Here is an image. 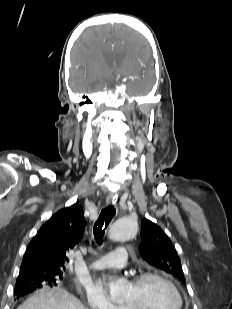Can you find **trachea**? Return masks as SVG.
<instances>
[{"label":"trachea","instance_id":"trachea-1","mask_svg":"<svg viewBox=\"0 0 232 309\" xmlns=\"http://www.w3.org/2000/svg\"><path fill=\"white\" fill-rule=\"evenodd\" d=\"M115 213L116 210L112 204L101 211L93 228L94 237L98 243H101V239L105 233V230L114 217Z\"/></svg>","mask_w":232,"mask_h":309}]
</instances>
